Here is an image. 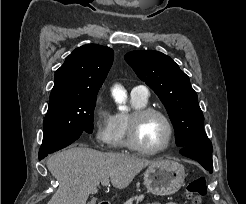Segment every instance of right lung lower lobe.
<instances>
[{
  "label": "right lung lower lobe",
  "instance_id": "1",
  "mask_svg": "<svg viewBox=\"0 0 246 204\" xmlns=\"http://www.w3.org/2000/svg\"><path fill=\"white\" fill-rule=\"evenodd\" d=\"M44 157H40L39 160L43 159Z\"/></svg>",
  "mask_w": 246,
  "mask_h": 204
}]
</instances>
